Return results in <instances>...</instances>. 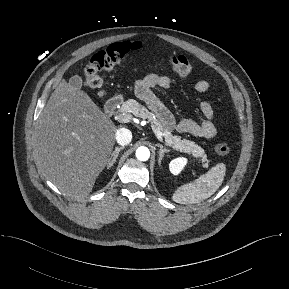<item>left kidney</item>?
I'll use <instances>...</instances> for the list:
<instances>
[{
  "instance_id": "obj_1",
  "label": "left kidney",
  "mask_w": 289,
  "mask_h": 289,
  "mask_svg": "<svg viewBox=\"0 0 289 289\" xmlns=\"http://www.w3.org/2000/svg\"><path fill=\"white\" fill-rule=\"evenodd\" d=\"M186 163H187L186 158H176L172 160L169 164L170 172L173 175H178L182 171Z\"/></svg>"
}]
</instances>
